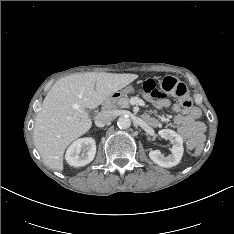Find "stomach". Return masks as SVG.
Instances as JSON below:
<instances>
[{
    "label": "stomach",
    "mask_w": 234,
    "mask_h": 234,
    "mask_svg": "<svg viewBox=\"0 0 234 234\" xmlns=\"http://www.w3.org/2000/svg\"><path fill=\"white\" fill-rule=\"evenodd\" d=\"M134 92V88L130 85V86H125V88H123L120 92H119V95L120 96H124L128 93H132ZM116 93V92H115ZM114 94V93H113Z\"/></svg>",
    "instance_id": "obj_1"
}]
</instances>
